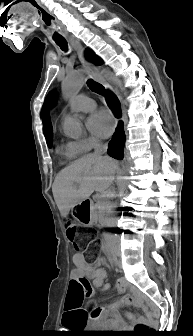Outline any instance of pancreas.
<instances>
[{
    "label": "pancreas",
    "instance_id": "cf45deb5",
    "mask_svg": "<svg viewBox=\"0 0 193 336\" xmlns=\"http://www.w3.org/2000/svg\"><path fill=\"white\" fill-rule=\"evenodd\" d=\"M94 220L97 222L98 226L104 225L105 220H104V215L103 213L105 212V209H100L99 204L94 205Z\"/></svg>",
    "mask_w": 193,
    "mask_h": 336
}]
</instances>
